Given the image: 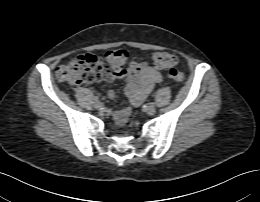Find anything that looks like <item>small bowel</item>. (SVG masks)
Returning <instances> with one entry per match:
<instances>
[{"instance_id":"obj_1","label":"small bowel","mask_w":260,"mask_h":202,"mask_svg":"<svg viewBox=\"0 0 260 202\" xmlns=\"http://www.w3.org/2000/svg\"><path fill=\"white\" fill-rule=\"evenodd\" d=\"M109 81H121L124 83V92L133 106H139L152 92L154 87L161 82V73L145 62H131L127 68H112L104 77ZM110 98H114L115 92L108 90ZM132 112L130 107L111 112V117L119 124H124Z\"/></svg>"}]
</instances>
